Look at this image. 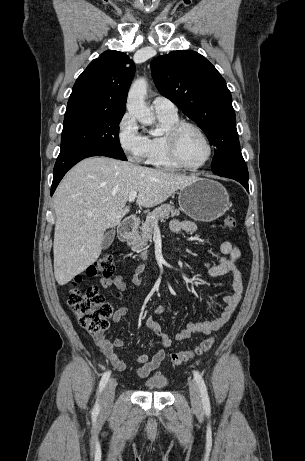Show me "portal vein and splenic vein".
I'll list each match as a JSON object with an SVG mask.
<instances>
[{"mask_svg": "<svg viewBox=\"0 0 305 461\" xmlns=\"http://www.w3.org/2000/svg\"><path fill=\"white\" fill-rule=\"evenodd\" d=\"M136 196H137V192H131V193L129 194L128 201H129L130 203L133 202V201L135 200Z\"/></svg>", "mask_w": 305, "mask_h": 461, "instance_id": "1", "label": "portal vein and splenic vein"}]
</instances>
